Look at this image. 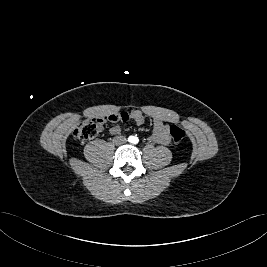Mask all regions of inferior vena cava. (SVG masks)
<instances>
[{"mask_svg": "<svg viewBox=\"0 0 267 267\" xmlns=\"http://www.w3.org/2000/svg\"><path fill=\"white\" fill-rule=\"evenodd\" d=\"M121 141H122V142H125V141H126V138H125V137H122V138H121Z\"/></svg>", "mask_w": 267, "mask_h": 267, "instance_id": "602c4592", "label": "inferior vena cava"}]
</instances>
